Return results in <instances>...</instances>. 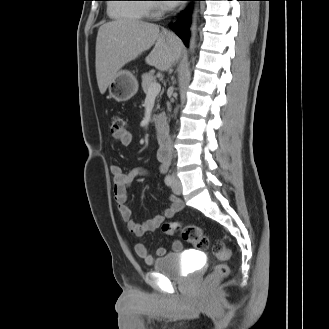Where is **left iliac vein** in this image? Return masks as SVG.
<instances>
[{
	"instance_id": "obj_1",
	"label": "left iliac vein",
	"mask_w": 329,
	"mask_h": 329,
	"mask_svg": "<svg viewBox=\"0 0 329 329\" xmlns=\"http://www.w3.org/2000/svg\"><path fill=\"white\" fill-rule=\"evenodd\" d=\"M172 191L176 195H180L182 192L181 183H180L179 179H177V178H174V182L172 185Z\"/></svg>"
}]
</instances>
